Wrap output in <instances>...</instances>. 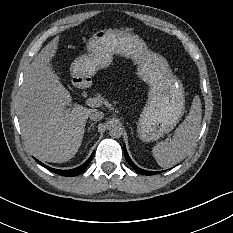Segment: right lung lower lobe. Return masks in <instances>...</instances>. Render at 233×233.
I'll return each mask as SVG.
<instances>
[{"label": "right lung lower lobe", "mask_w": 233, "mask_h": 233, "mask_svg": "<svg viewBox=\"0 0 233 233\" xmlns=\"http://www.w3.org/2000/svg\"><path fill=\"white\" fill-rule=\"evenodd\" d=\"M94 155V152L93 154L90 156V158L84 163L82 164L81 166L75 168V169H71V170H58V169H53V168H50L46 165H44L43 163H41L40 161H38L41 165H43L44 167H46L47 169H49L50 171L54 172V173H57L59 175H62V176H76L78 174H81L85 171L86 167L89 165L90 161L92 160V157Z\"/></svg>", "instance_id": "right-lung-lower-lobe-1"}]
</instances>
